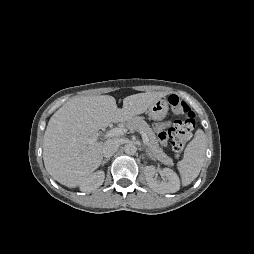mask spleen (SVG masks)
Returning a JSON list of instances; mask_svg holds the SVG:
<instances>
[{"instance_id": "1", "label": "spleen", "mask_w": 254, "mask_h": 254, "mask_svg": "<svg viewBox=\"0 0 254 254\" xmlns=\"http://www.w3.org/2000/svg\"><path fill=\"white\" fill-rule=\"evenodd\" d=\"M206 148V135L203 130L197 129L194 138L185 149L184 158L177 164L184 186L189 185L199 175L205 160Z\"/></svg>"}]
</instances>
